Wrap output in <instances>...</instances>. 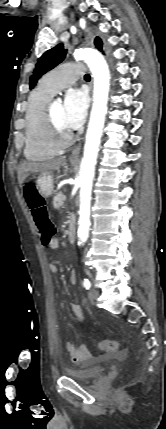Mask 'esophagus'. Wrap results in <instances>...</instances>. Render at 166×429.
Returning <instances> with one entry per match:
<instances>
[{
  "instance_id": "34e87169",
  "label": "esophagus",
  "mask_w": 166,
  "mask_h": 429,
  "mask_svg": "<svg viewBox=\"0 0 166 429\" xmlns=\"http://www.w3.org/2000/svg\"><path fill=\"white\" fill-rule=\"evenodd\" d=\"M80 150H81V144H79L78 146H76V147L74 148V150L72 151V154H71L70 158H71V159H76V158H78L79 153H80Z\"/></svg>"
}]
</instances>
